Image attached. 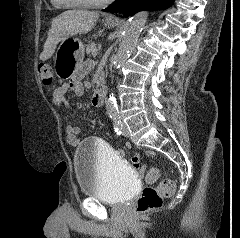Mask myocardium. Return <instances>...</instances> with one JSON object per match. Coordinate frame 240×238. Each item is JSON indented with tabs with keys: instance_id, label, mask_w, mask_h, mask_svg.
<instances>
[{
	"instance_id": "myocardium-1",
	"label": "myocardium",
	"mask_w": 240,
	"mask_h": 238,
	"mask_svg": "<svg viewBox=\"0 0 240 238\" xmlns=\"http://www.w3.org/2000/svg\"><path fill=\"white\" fill-rule=\"evenodd\" d=\"M113 0H101L98 2H80V1H69L63 0V3L68 7L78 8H99L110 4Z\"/></svg>"
}]
</instances>
